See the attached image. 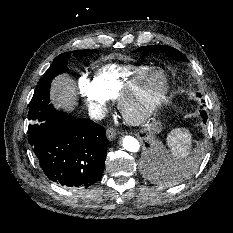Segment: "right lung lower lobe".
Masks as SVG:
<instances>
[{
	"instance_id": "obj_1",
	"label": "right lung lower lobe",
	"mask_w": 233,
	"mask_h": 233,
	"mask_svg": "<svg viewBox=\"0 0 233 233\" xmlns=\"http://www.w3.org/2000/svg\"><path fill=\"white\" fill-rule=\"evenodd\" d=\"M108 140L105 129L85 118L55 111L33 146L43 172L67 187H89L103 173Z\"/></svg>"
}]
</instances>
